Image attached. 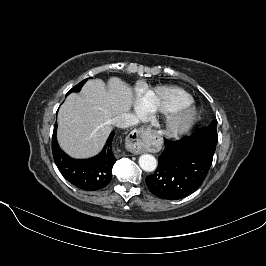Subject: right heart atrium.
I'll use <instances>...</instances> for the list:
<instances>
[{
  "label": "right heart atrium",
  "mask_w": 266,
  "mask_h": 266,
  "mask_svg": "<svg viewBox=\"0 0 266 266\" xmlns=\"http://www.w3.org/2000/svg\"><path fill=\"white\" fill-rule=\"evenodd\" d=\"M137 110H138V111H140V108H139V107H137Z\"/></svg>",
  "instance_id": "1"
}]
</instances>
